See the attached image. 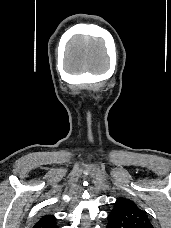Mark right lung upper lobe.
Segmentation results:
<instances>
[{
  "instance_id": "1",
  "label": "right lung upper lobe",
  "mask_w": 171,
  "mask_h": 228,
  "mask_svg": "<svg viewBox=\"0 0 171 228\" xmlns=\"http://www.w3.org/2000/svg\"><path fill=\"white\" fill-rule=\"evenodd\" d=\"M33 228H57L56 218L53 215L42 216Z\"/></svg>"
}]
</instances>
